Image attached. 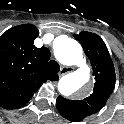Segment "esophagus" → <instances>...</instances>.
I'll return each mask as SVG.
<instances>
[{
	"label": "esophagus",
	"mask_w": 124,
	"mask_h": 124,
	"mask_svg": "<svg viewBox=\"0 0 124 124\" xmlns=\"http://www.w3.org/2000/svg\"><path fill=\"white\" fill-rule=\"evenodd\" d=\"M73 69L74 68H72V67H66V66H64V67L61 68V70L59 72V76H63L65 74H68V73L72 72Z\"/></svg>",
	"instance_id": "1"
}]
</instances>
